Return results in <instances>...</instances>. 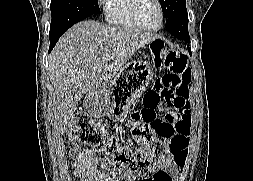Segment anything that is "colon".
Returning a JSON list of instances; mask_svg holds the SVG:
<instances>
[{"label":"colon","mask_w":253,"mask_h":181,"mask_svg":"<svg viewBox=\"0 0 253 181\" xmlns=\"http://www.w3.org/2000/svg\"><path fill=\"white\" fill-rule=\"evenodd\" d=\"M151 55L165 60L170 71L155 80L144 98V107L133 112L128 121L134 139L143 149L132 150L109 134L104 127L84 113L78 114L71 125V138L77 148L91 154L107 170L141 175L150 167H164L175 158V145L180 130H173L182 118L189 117V84L191 71L186 50L166 47L165 41H150ZM166 102L171 110L165 118L157 116L159 106Z\"/></svg>","instance_id":"colon-1"}]
</instances>
